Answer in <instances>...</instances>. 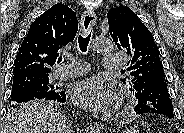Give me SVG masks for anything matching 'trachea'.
I'll list each match as a JSON object with an SVG mask.
<instances>
[{
  "label": "trachea",
  "instance_id": "trachea-1",
  "mask_svg": "<svg viewBox=\"0 0 184 133\" xmlns=\"http://www.w3.org/2000/svg\"><path fill=\"white\" fill-rule=\"evenodd\" d=\"M90 37H91V32L87 36L80 35L78 37V44H79V48H80L81 52H86L87 51V47H88V44H89V41H90ZM61 61H62V57H59L57 62L60 63Z\"/></svg>",
  "mask_w": 184,
  "mask_h": 133
}]
</instances>
